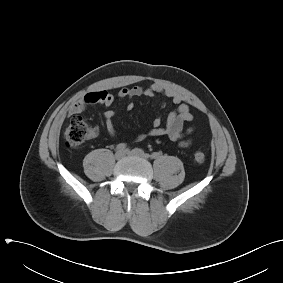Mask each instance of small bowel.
Instances as JSON below:
<instances>
[{
  "instance_id": "obj_1",
  "label": "small bowel",
  "mask_w": 283,
  "mask_h": 283,
  "mask_svg": "<svg viewBox=\"0 0 283 283\" xmlns=\"http://www.w3.org/2000/svg\"><path fill=\"white\" fill-rule=\"evenodd\" d=\"M162 95L172 101L175 105V109L169 113L166 119V123L163 125L162 117L157 116L153 121L152 129L147 133L140 135L137 140L142 141L147 137H158L167 136L171 141L177 142L181 147H187L190 145L191 140L189 136L194 131L193 127H189L186 130L183 126L186 122L193 120V114L190 107L186 104L183 98L172 90L166 89L163 86L152 83L147 87L135 85L132 87H124L119 90L118 96L120 98H135L139 96L157 97ZM114 96L107 91H93L84 95L82 98L77 100L69 108V115H75L83 112L88 105L91 104H102L105 106H111L114 102ZM165 104L162 103V107ZM127 110L132 111L134 104L129 102L127 104ZM115 112L108 110L104 113L105 127L108 133L112 137H117V131L115 129L113 118Z\"/></svg>"
}]
</instances>
